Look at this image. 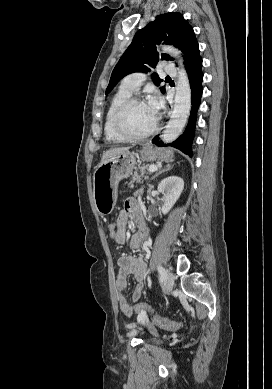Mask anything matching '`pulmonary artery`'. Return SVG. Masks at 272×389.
<instances>
[{"mask_svg":"<svg viewBox=\"0 0 272 389\" xmlns=\"http://www.w3.org/2000/svg\"><path fill=\"white\" fill-rule=\"evenodd\" d=\"M164 73L175 76L176 75V69L174 65L169 62H164ZM145 80V74L143 73H133L129 75L122 83V87L128 89L131 92H136L139 89V86L141 83Z\"/></svg>","mask_w":272,"mask_h":389,"instance_id":"obj_1","label":"pulmonary artery"}]
</instances>
